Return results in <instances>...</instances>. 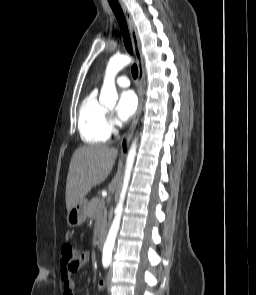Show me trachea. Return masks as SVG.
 <instances>
[{"label": "trachea", "instance_id": "1", "mask_svg": "<svg viewBox=\"0 0 256 295\" xmlns=\"http://www.w3.org/2000/svg\"><path fill=\"white\" fill-rule=\"evenodd\" d=\"M109 4L117 18L122 36H123V41L125 44V47L127 49V51L132 54V44H131V40H130V36H129V32H128V27H127V23L123 14V11L118 3L117 0H108ZM131 72H132V76L134 79L137 78L138 76V68L136 66V64L132 65L131 68Z\"/></svg>", "mask_w": 256, "mask_h": 295}]
</instances>
